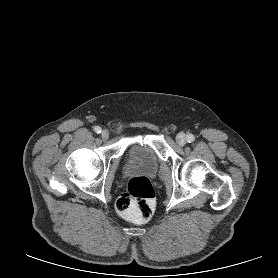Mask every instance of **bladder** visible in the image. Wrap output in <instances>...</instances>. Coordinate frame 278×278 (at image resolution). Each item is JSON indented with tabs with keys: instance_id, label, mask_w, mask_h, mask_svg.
Masks as SVG:
<instances>
[{
	"instance_id": "1",
	"label": "bladder",
	"mask_w": 278,
	"mask_h": 278,
	"mask_svg": "<svg viewBox=\"0 0 278 278\" xmlns=\"http://www.w3.org/2000/svg\"><path fill=\"white\" fill-rule=\"evenodd\" d=\"M159 163L158 154L149 143H132L125 152L124 169L128 174L144 173L154 175L158 171Z\"/></svg>"
}]
</instances>
